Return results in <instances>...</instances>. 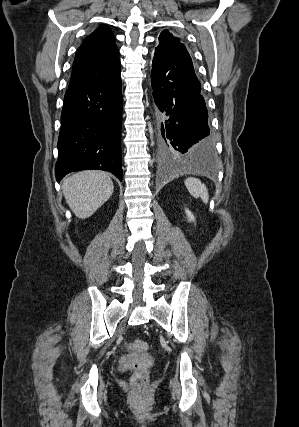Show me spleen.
Instances as JSON below:
<instances>
[{
    "label": "spleen",
    "instance_id": "spleen-1",
    "mask_svg": "<svg viewBox=\"0 0 299 427\" xmlns=\"http://www.w3.org/2000/svg\"><path fill=\"white\" fill-rule=\"evenodd\" d=\"M185 186L187 187L189 193L195 197H200L205 204L208 203L209 194L205 184H202L201 181L194 177H188L184 181Z\"/></svg>",
    "mask_w": 299,
    "mask_h": 427
}]
</instances>
